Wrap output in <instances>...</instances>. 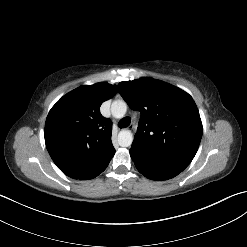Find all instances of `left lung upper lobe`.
<instances>
[{
  "label": "left lung upper lobe",
  "mask_w": 247,
  "mask_h": 247,
  "mask_svg": "<svg viewBox=\"0 0 247 247\" xmlns=\"http://www.w3.org/2000/svg\"><path fill=\"white\" fill-rule=\"evenodd\" d=\"M118 91L130 108L141 113L132 146L184 170L194 158L203 132L192 97L149 77L120 82Z\"/></svg>",
  "instance_id": "1"
}]
</instances>
